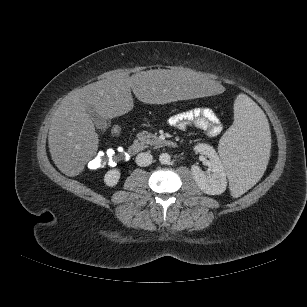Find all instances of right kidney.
<instances>
[{
    "instance_id": "1",
    "label": "right kidney",
    "mask_w": 307,
    "mask_h": 307,
    "mask_svg": "<svg viewBox=\"0 0 307 307\" xmlns=\"http://www.w3.org/2000/svg\"><path fill=\"white\" fill-rule=\"evenodd\" d=\"M120 171L118 169L109 170L104 176V182L107 186L113 187L115 186L120 179Z\"/></svg>"
}]
</instances>
